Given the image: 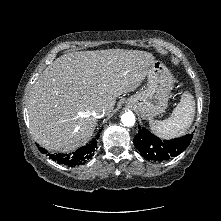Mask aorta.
Instances as JSON below:
<instances>
[{
    "label": "aorta",
    "instance_id": "aorta-1",
    "mask_svg": "<svg viewBox=\"0 0 221 221\" xmlns=\"http://www.w3.org/2000/svg\"><path fill=\"white\" fill-rule=\"evenodd\" d=\"M121 122L125 126L131 127L135 124V115L131 111L126 112L121 116Z\"/></svg>",
    "mask_w": 221,
    "mask_h": 221
}]
</instances>
